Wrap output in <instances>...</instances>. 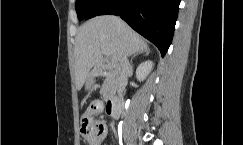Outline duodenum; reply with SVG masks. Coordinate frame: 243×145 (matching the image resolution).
I'll return each instance as SVG.
<instances>
[{"mask_svg": "<svg viewBox=\"0 0 243 145\" xmlns=\"http://www.w3.org/2000/svg\"><path fill=\"white\" fill-rule=\"evenodd\" d=\"M115 72H116V70L114 67L99 65V66H95L92 68L91 75L98 77V76H103L106 74H113ZM120 107H121V103L118 99L109 98L106 103V112L110 116L117 118L120 113Z\"/></svg>", "mask_w": 243, "mask_h": 145, "instance_id": "410a0bca", "label": "duodenum"}]
</instances>
